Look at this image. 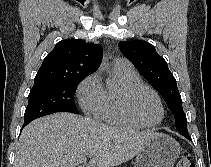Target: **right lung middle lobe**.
Wrapping results in <instances>:
<instances>
[{
	"label": "right lung middle lobe",
	"instance_id": "right-lung-middle-lobe-1",
	"mask_svg": "<svg viewBox=\"0 0 211 167\" xmlns=\"http://www.w3.org/2000/svg\"><path fill=\"white\" fill-rule=\"evenodd\" d=\"M82 78L61 82L34 83L24 114V123L56 112L78 114L74 102L77 85Z\"/></svg>",
	"mask_w": 211,
	"mask_h": 167
}]
</instances>
